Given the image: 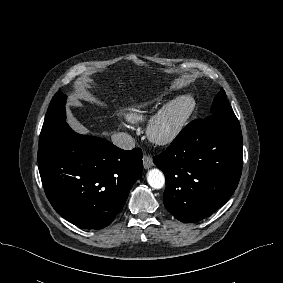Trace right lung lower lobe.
Instances as JSON below:
<instances>
[{
	"label": "right lung lower lobe",
	"instance_id": "1",
	"mask_svg": "<svg viewBox=\"0 0 283 283\" xmlns=\"http://www.w3.org/2000/svg\"><path fill=\"white\" fill-rule=\"evenodd\" d=\"M142 151L75 133L67 124L38 151L42 184L53 208L85 229L108 226L143 170Z\"/></svg>",
	"mask_w": 283,
	"mask_h": 283
}]
</instances>
